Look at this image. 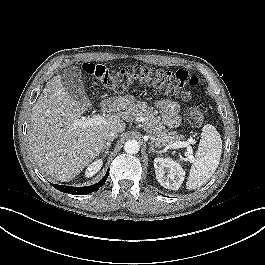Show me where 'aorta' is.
I'll return each mask as SVG.
<instances>
[{
    "mask_svg": "<svg viewBox=\"0 0 265 265\" xmlns=\"http://www.w3.org/2000/svg\"><path fill=\"white\" fill-rule=\"evenodd\" d=\"M140 149L139 143L136 140H128L124 144L125 152L129 154H136Z\"/></svg>",
    "mask_w": 265,
    "mask_h": 265,
    "instance_id": "762f6f07",
    "label": "aorta"
}]
</instances>
